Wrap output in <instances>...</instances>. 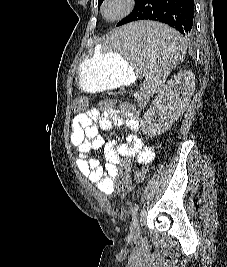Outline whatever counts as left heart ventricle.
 <instances>
[{"mask_svg": "<svg viewBox=\"0 0 227 267\" xmlns=\"http://www.w3.org/2000/svg\"><path fill=\"white\" fill-rule=\"evenodd\" d=\"M121 6L120 4H113L109 8V14L113 15L117 13L120 10Z\"/></svg>", "mask_w": 227, "mask_h": 267, "instance_id": "left-heart-ventricle-1", "label": "left heart ventricle"}]
</instances>
